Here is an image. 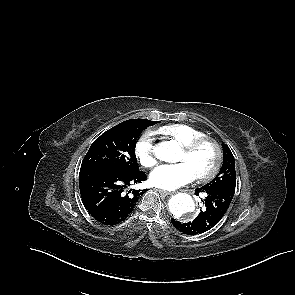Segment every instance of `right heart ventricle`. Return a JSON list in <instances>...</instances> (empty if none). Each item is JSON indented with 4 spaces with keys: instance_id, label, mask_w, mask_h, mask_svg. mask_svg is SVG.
Listing matches in <instances>:
<instances>
[{
    "instance_id": "obj_1",
    "label": "right heart ventricle",
    "mask_w": 295,
    "mask_h": 295,
    "mask_svg": "<svg viewBox=\"0 0 295 295\" xmlns=\"http://www.w3.org/2000/svg\"><path fill=\"white\" fill-rule=\"evenodd\" d=\"M157 133L176 141L182 147L196 139L206 136L203 131L186 124L166 125L159 128Z\"/></svg>"
}]
</instances>
